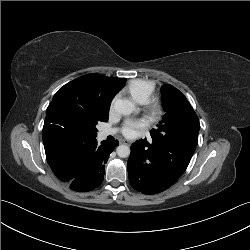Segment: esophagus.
<instances>
[{
    "instance_id": "34e87169",
    "label": "esophagus",
    "mask_w": 250,
    "mask_h": 250,
    "mask_svg": "<svg viewBox=\"0 0 250 250\" xmlns=\"http://www.w3.org/2000/svg\"><path fill=\"white\" fill-rule=\"evenodd\" d=\"M121 143H123V144H127V145H129V144H130V142H128V141H126V140H122V141H121Z\"/></svg>"
}]
</instances>
